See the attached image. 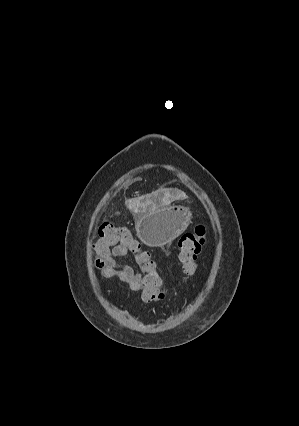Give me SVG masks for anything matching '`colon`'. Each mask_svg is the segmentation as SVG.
Returning a JSON list of instances; mask_svg holds the SVG:
<instances>
[{
	"mask_svg": "<svg viewBox=\"0 0 299 426\" xmlns=\"http://www.w3.org/2000/svg\"><path fill=\"white\" fill-rule=\"evenodd\" d=\"M98 233L99 237L93 245L96 265L99 267L113 248H126L132 254L138 255L140 262L145 267L140 291L142 300L150 304H157L164 300L166 293L162 288L157 263L130 230L105 222L100 225ZM205 244L206 231L202 225H197L193 231L183 234L179 239L178 259L183 268L184 281L195 274L197 258Z\"/></svg>",
	"mask_w": 299,
	"mask_h": 426,
	"instance_id": "obj_1",
	"label": "colon"
}]
</instances>
